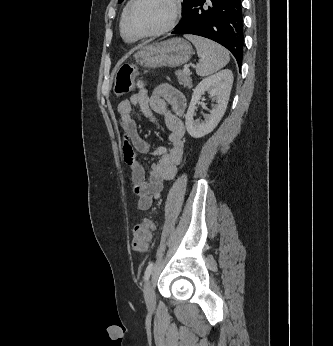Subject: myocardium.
Here are the masks:
<instances>
[{
    "instance_id": "f54148a6",
    "label": "myocardium",
    "mask_w": 333,
    "mask_h": 346,
    "mask_svg": "<svg viewBox=\"0 0 333 346\" xmlns=\"http://www.w3.org/2000/svg\"><path fill=\"white\" fill-rule=\"evenodd\" d=\"M139 2V0H131L126 12L123 16L122 19V33L123 35L129 39V40H134V39H141V38H150V37H158L161 36L169 31H171L179 22L180 17H181V12H182V4H181V0H170V3L172 5L173 8V14H172V18L170 20V22L163 27L160 30L154 31V32H150V33H132L128 30L127 27V21L129 18L130 13L132 12L134 6Z\"/></svg>"
}]
</instances>
